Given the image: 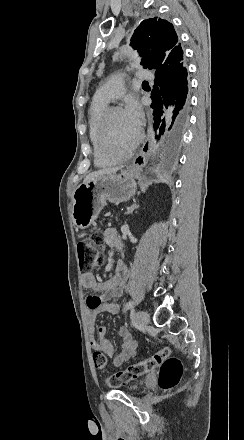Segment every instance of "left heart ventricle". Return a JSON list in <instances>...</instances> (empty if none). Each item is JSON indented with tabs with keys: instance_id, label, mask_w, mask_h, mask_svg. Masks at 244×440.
Segmentation results:
<instances>
[{
	"instance_id": "b2bd125f",
	"label": "left heart ventricle",
	"mask_w": 244,
	"mask_h": 440,
	"mask_svg": "<svg viewBox=\"0 0 244 440\" xmlns=\"http://www.w3.org/2000/svg\"><path fill=\"white\" fill-rule=\"evenodd\" d=\"M105 128L109 129L106 137L109 146L126 145L131 138L123 110L114 111L110 118V124Z\"/></svg>"
}]
</instances>
